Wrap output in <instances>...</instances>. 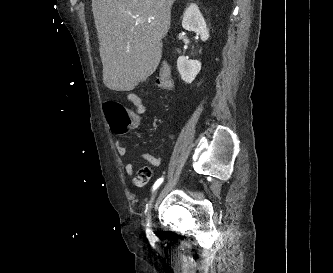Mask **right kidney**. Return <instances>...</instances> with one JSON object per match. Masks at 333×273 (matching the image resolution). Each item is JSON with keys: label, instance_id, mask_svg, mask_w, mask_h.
<instances>
[{"label": "right kidney", "instance_id": "right-kidney-1", "mask_svg": "<svg viewBox=\"0 0 333 273\" xmlns=\"http://www.w3.org/2000/svg\"><path fill=\"white\" fill-rule=\"evenodd\" d=\"M182 27L200 35L202 41L209 38V30L205 20L196 4L191 3L183 14ZM177 69L184 82L190 84L201 70V63L197 60L188 59L185 56H179L177 60Z\"/></svg>", "mask_w": 333, "mask_h": 273}]
</instances>
